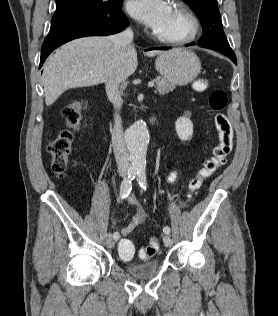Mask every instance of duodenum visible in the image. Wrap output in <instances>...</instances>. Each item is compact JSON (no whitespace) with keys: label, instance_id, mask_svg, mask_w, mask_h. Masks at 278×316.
Masks as SVG:
<instances>
[{"label":"duodenum","instance_id":"obj_1","mask_svg":"<svg viewBox=\"0 0 278 316\" xmlns=\"http://www.w3.org/2000/svg\"><path fill=\"white\" fill-rule=\"evenodd\" d=\"M150 122L152 123V124H154L155 122H156V117H151V119H150Z\"/></svg>","mask_w":278,"mask_h":316}]
</instances>
